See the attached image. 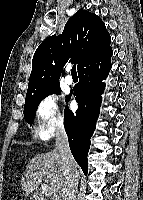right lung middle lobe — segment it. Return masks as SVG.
<instances>
[{
  "label": "right lung middle lobe",
  "instance_id": "right-lung-middle-lobe-1",
  "mask_svg": "<svg viewBox=\"0 0 143 200\" xmlns=\"http://www.w3.org/2000/svg\"><path fill=\"white\" fill-rule=\"evenodd\" d=\"M61 89L59 84L48 86L46 88H43L34 94H32L29 97H26L25 99V105H24V118L25 120L32 125L33 119L36 113V109L39 105V103L48 95L57 93L60 94Z\"/></svg>",
  "mask_w": 143,
  "mask_h": 200
}]
</instances>
